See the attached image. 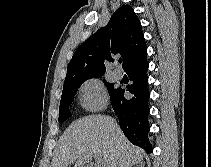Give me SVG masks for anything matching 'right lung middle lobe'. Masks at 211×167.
<instances>
[{
    "mask_svg": "<svg viewBox=\"0 0 211 167\" xmlns=\"http://www.w3.org/2000/svg\"><path fill=\"white\" fill-rule=\"evenodd\" d=\"M99 77L101 76L86 77L74 82L64 84L62 97L60 101V107H59V122H63L71 116V113L69 111V106L71 105L74 95L76 91L78 90V88L80 87V85L82 84V82H84L88 78H99ZM104 83L108 88L110 98H111L117 89H114V84L108 83L105 80H104Z\"/></svg>",
    "mask_w": 211,
    "mask_h": 167,
    "instance_id": "obj_1",
    "label": "right lung middle lobe"
}]
</instances>
